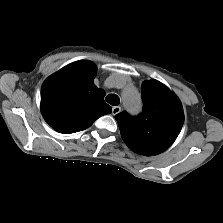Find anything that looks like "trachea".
<instances>
[{
    "instance_id": "obj_1",
    "label": "trachea",
    "mask_w": 223,
    "mask_h": 223,
    "mask_svg": "<svg viewBox=\"0 0 223 223\" xmlns=\"http://www.w3.org/2000/svg\"><path fill=\"white\" fill-rule=\"evenodd\" d=\"M106 101L113 106H118L120 103V99L116 94H108L106 96Z\"/></svg>"
}]
</instances>
